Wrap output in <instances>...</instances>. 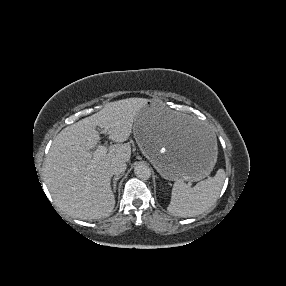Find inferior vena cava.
<instances>
[{"mask_svg": "<svg viewBox=\"0 0 286 286\" xmlns=\"http://www.w3.org/2000/svg\"><path fill=\"white\" fill-rule=\"evenodd\" d=\"M125 170H126V163L121 160L113 161L109 167L110 173L114 175H120L124 173Z\"/></svg>", "mask_w": 286, "mask_h": 286, "instance_id": "inferior-vena-cava-1", "label": "inferior vena cava"}]
</instances>
